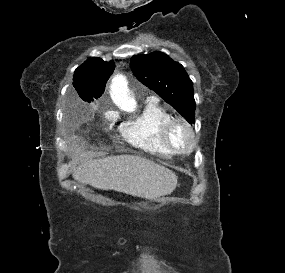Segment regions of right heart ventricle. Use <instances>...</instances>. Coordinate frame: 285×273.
I'll return each instance as SVG.
<instances>
[{
  "label": "right heart ventricle",
  "instance_id": "obj_1",
  "mask_svg": "<svg viewBox=\"0 0 285 273\" xmlns=\"http://www.w3.org/2000/svg\"><path fill=\"white\" fill-rule=\"evenodd\" d=\"M171 118L166 108L152 100L137 117L120 126V133L129 145L137 149L160 156H172L174 152L163 139V128Z\"/></svg>",
  "mask_w": 285,
  "mask_h": 273
}]
</instances>
